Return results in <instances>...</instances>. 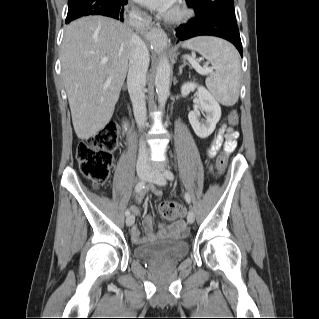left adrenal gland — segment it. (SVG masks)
<instances>
[{"label": "left adrenal gland", "instance_id": "1", "mask_svg": "<svg viewBox=\"0 0 319 319\" xmlns=\"http://www.w3.org/2000/svg\"><path fill=\"white\" fill-rule=\"evenodd\" d=\"M185 65H186V61H184L183 64L179 66V73H178V75H181V74H182V70H183V68L185 67Z\"/></svg>", "mask_w": 319, "mask_h": 319}]
</instances>
